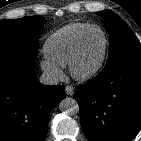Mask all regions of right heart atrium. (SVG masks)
Wrapping results in <instances>:
<instances>
[{
    "mask_svg": "<svg viewBox=\"0 0 141 141\" xmlns=\"http://www.w3.org/2000/svg\"><path fill=\"white\" fill-rule=\"evenodd\" d=\"M40 66L43 72L51 79H59L63 76L62 67L54 61L50 60L48 57H44L40 61Z\"/></svg>",
    "mask_w": 141,
    "mask_h": 141,
    "instance_id": "obj_1",
    "label": "right heart atrium"
}]
</instances>
